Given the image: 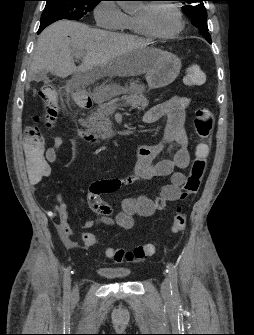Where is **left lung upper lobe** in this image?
Listing matches in <instances>:
<instances>
[{"mask_svg":"<svg viewBox=\"0 0 254 335\" xmlns=\"http://www.w3.org/2000/svg\"><path fill=\"white\" fill-rule=\"evenodd\" d=\"M187 3L182 7L183 12L191 19L192 24L197 27L200 33L211 41L210 34L207 27V12L203 4V0H179ZM194 4V5H192Z\"/></svg>","mask_w":254,"mask_h":335,"instance_id":"obj_1","label":"left lung upper lobe"}]
</instances>
